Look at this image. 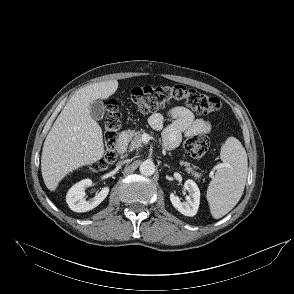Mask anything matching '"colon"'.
Instances as JSON below:
<instances>
[{
	"label": "colon",
	"instance_id": "colon-1",
	"mask_svg": "<svg viewBox=\"0 0 294 294\" xmlns=\"http://www.w3.org/2000/svg\"><path fill=\"white\" fill-rule=\"evenodd\" d=\"M131 101L143 113L157 111L173 101H182L201 114L221 109V101L184 85L141 86L131 91ZM121 117L117 103L109 101L104 121L105 151L103 157L93 165L94 170H103L115 160V145ZM209 139L201 134L189 136L185 141L186 152L192 158H202L209 149Z\"/></svg>",
	"mask_w": 294,
	"mask_h": 294
}]
</instances>
